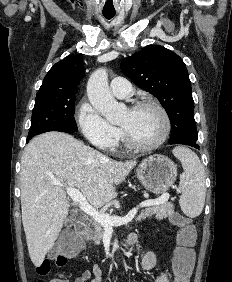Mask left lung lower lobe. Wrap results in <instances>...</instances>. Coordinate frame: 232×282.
<instances>
[{
  "label": "left lung lower lobe",
  "instance_id": "1",
  "mask_svg": "<svg viewBox=\"0 0 232 282\" xmlns=\"http://www.w3.org/2000/svg\"><path fill=\"white\" fill-rule=\"evenodd\" d=\"M170 144H183V145H189L192 146L196 149H199V145L196 144L194 141H182L176 134L172 133L171 138H170Z\"/></svg>",
  "mask_w": 232,
  "mask_h": 282
}]
</instances>
